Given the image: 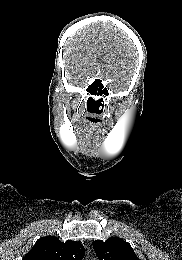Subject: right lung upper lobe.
I'll return each instance as SVG.
<instances>
[{
	"label": "right lung upper lobe",
	"instance_id": "right-lung-upper-lobe-1",
	"mask_svg": "<svg viewBox=\"0 0 182 260\" xmlns=\"http://www.w3.org/2000/svg\"><path fill=\"white\" fill-rule=\"evenodd\" d=\"M84 254L83 245L77 241L64 243L57 237L46 236L36 241L23 260H82Z\"/></svg>",
	"mask_w": 182,
	"mask_h": 260
}]
</instances>
